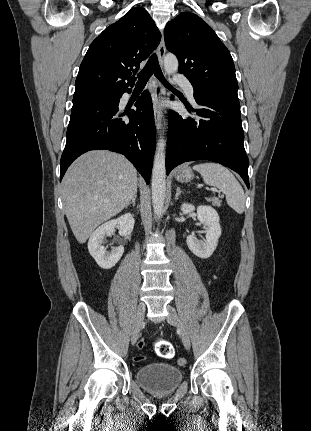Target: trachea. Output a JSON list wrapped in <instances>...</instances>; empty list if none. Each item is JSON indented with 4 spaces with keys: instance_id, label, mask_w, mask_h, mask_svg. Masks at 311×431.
I'll return each instance as SVG.
<instances>
[{
    "instance_id": "3493384b",
    "label": "trachea",
    "mask_w": 311,
    "mask_h": 431,
    "mask_svg": "<svg viewBox=\"0 0 311 431\" xmlns=\"http://www.w3.org/2000/svg\"><path fill=\"white\" fill-rule=\"evenodd\" d=\"M153 73L161 83L167 86V88H172L163 76L156 54H153L149 58L146 66L139 73L137 84H146Z\"/></svg>"
}]
</instances>
